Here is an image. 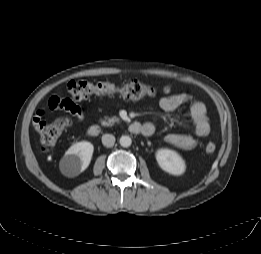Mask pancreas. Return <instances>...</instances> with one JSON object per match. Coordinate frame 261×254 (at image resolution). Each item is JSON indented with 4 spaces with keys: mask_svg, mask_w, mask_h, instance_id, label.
<instances>
[{
    "mask_svg": "<svg viewBox=\"0 0 261 254\" xmlns=\"http://www.w3.org/2000/svg\"><path fill=\"white\" fill-rule=\"evenodd\" d=\"M120 119L116 116L113 117H105L100 120L102 126H113L115 123H118Z\"/></svg>",
    "mask_w": 261,
    "mask_h": 254,
    "instance_id": "1",
    "label": "pancreas"
}]
</instances>
